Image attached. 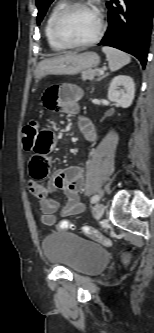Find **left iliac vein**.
<instances>
[{"instance_id":"1","label":"left iliac vein","mask_w":154,"mask_h":333,"mask_svg":"<svg viewBox=\"0 0 154 333\" xmlns=\"http://www.w3.org/2000/svg\"><path fill=\"white\" fill-rule=\"evenodd\" d=\"M103 213H104V205L98 204L94 213L95 219L99 220L103 216Z\"/></svg>"}]
</instances>
